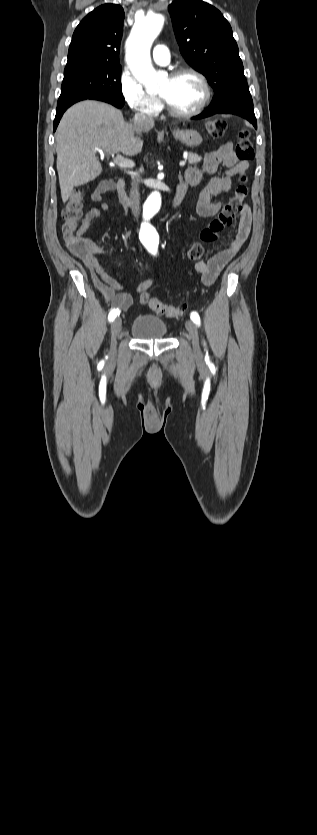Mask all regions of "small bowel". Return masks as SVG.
Returning <instances> with one entry per match:
<instances>
[{
	"mask_svg": "<svg viewBox=\"0 0 317 835\" xmlns=\"http://www.w3.org/2000/svg\"><path fill=\"white\" fill-rule=\"evenodd\" d=\"M220 165L226 168L225 173L220 176H212L200 192L196 211L202 217L214 216L219 211L222 202H215L213 198L222 193H229L232 189V179L234 177L245 176L249 168V163L248 161L240 160L234 153L233 145L226 143L208 153L200 168L192 167L185 172L182 185L186 189L187 186L200 185L205 175L214 174ZM106 184L107 181L102 182L93 191L92 199L95 202H100V208L92 207L87 211L82 220L79 234H83L90 225L99 219L101 215L100 209L103 211L110 210L109 204L103 202L109 193ZM251 222L250 209L244 207L237 226V232L227 247L208 260L199 261L195 264V270L202 276V280L206 285H211L214 282L220 271L243 246L249 236ZM98 254H102L100 249H95L88 256H78L88 269L93 284L102 298L112 307L119 309V311L128 310L133 304L132 295L125 291L126 285L116 270H114V274L112 275L104 270L96 258ZM154 282L155 278H147L141 281L136 287V292H145Z\"/></svg>",
	"mask_w": 317,
	"mask_h": 835,
	"instance_id": "c3829d8e",
	"label": "small bowel"
}]
</instances>
